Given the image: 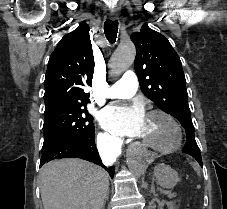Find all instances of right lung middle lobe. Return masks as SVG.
<instances>
[{
    "mask_svg": "<svg viewBox=\"0 0 227 209\" xmlns=\"http://www.w3.org/2000/svg\"><path fill=\"white\" fill-rule=\"evenodd\" d=\"M89 99L55 98L45 102L43 147L74 137L94 135L93 117L86 104Z\"/></svg>",
    "mask_w": 227,
    "mask_h": 209,
    "instance_id": "1",
    "label": "right lung middle lobe"
}]
</instances>
